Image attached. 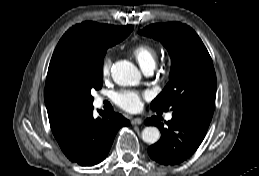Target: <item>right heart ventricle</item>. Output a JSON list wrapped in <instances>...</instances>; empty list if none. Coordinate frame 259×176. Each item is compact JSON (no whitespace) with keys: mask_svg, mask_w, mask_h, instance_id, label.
<instances>
[{"mask_svg":"<svg viewBox=\"0 0 259 176\" xmlns=\"http://www.w3.org/2000/svg\"><path fill=\"white\" fill-rule=\"evenodd\" d=\"M131 53L142 69L150 67L154 68L157 63L158 52L151 44L138 43L132 47Z\"/></svg>","mask_w":259,"mask_h":176,"instance_id":"1","label":"right heart ventricle"}]
</instances>
